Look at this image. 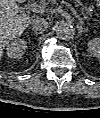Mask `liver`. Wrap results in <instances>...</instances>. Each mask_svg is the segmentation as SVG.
<instances>
[{"mask_svg": "<svg viewBox=\"0 0 100 118\" xmlns=\"http://www.w3.org/2000/svg\"><path fill=\"white\" fill-rule=\"evenodd\" d=\"M26 0H0V50L1 55L10 41L19 37L31 22L29 14H18L17 2ZM35 17V16H34Z\"/></svg>", "mask_w": 100, "mask_h": 118, "instance_id": "6515ba94", "label": "liver"}]
</instances>
